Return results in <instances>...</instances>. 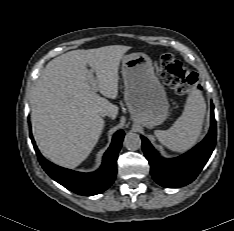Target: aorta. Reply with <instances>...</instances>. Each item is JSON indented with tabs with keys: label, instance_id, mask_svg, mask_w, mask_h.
Returning a JSON list of instances; mask_svg holds the SVG:
<instances>
[{
	"label": "aorta",
	"instance_id": "762f6f07",
	"mask_svg": "<svg viewBox=\"0 0 234 231\" xmlns=\"http://www.w3.org/2000/svg\"><path fill=\"white\" fill-rule=\"evenodd\" d=\"M123 144L128 150L135 151L141 147V138L137 133L129 132L126 134Z\"/></svg>",
	"mask_w": 234,
	"mask_h": 231
}]
</instances>
